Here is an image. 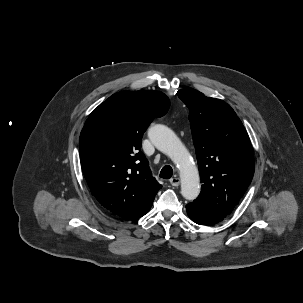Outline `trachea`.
Returning <instances> with one entry per match:
<instances>
[{
    "instance_id": "3493384b",
    "label": "trachea",
    "mask_w": 303,
    "mask_h": 303,
    "mask_svg": "<svg viewBox=\"0 0 303 303\" xmlns=\"http://www.w3.org/2000/svg\"><path fill=\"white\" fill-rule=\"evenodd\" d=\"M172 175H173V169L169 165L164 166L160 172V177L163 179H170Z\"/></svg>"
}]
</instances>
